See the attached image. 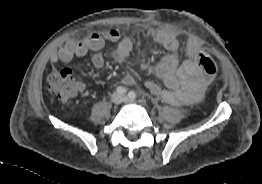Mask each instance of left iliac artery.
<instances>
[{
    "mask_svg": "<svg viewBox=\"0 0 262 184\" xmlns=\"http://www.w3.org/2000/svg\"><path fill=\"white\" fill-rule=\"evenodd\" d=\"M128 97L131 99H135L136 98V93L134 91L129 92Z\"/></svg>",
    "mask_w": 262,
    "mask_h": 184,
    "instance_id": "obj_1",
    "label": "left iliac artery"
}]
</instances>
